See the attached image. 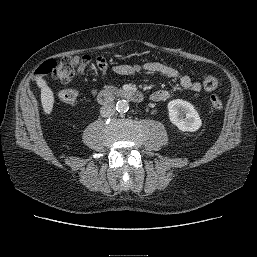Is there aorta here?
<instances>
[{"label":"aorta","instance_id":"obj_1","mask_svg":"<svg viewBox=\"0 0 257 257\" xmlns=\"http://www.w3.org/2000/svg\"><path fill=\"white\" fill-rule=\"evenodd\" d=\"M116 110L119 112V113H125L129 110V103L127 100H119L117 103H116Z\"/></svg>","mask_w":257,"mask_h":257}]
</instances>
